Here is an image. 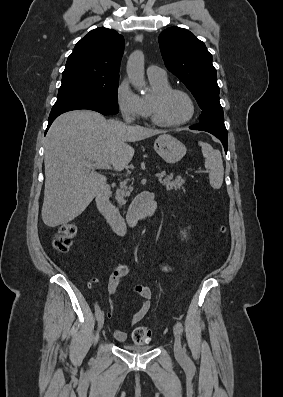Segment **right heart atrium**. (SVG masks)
Segmentation results:
<instances>
[{"mask_svg":"<svg viewBox=\"0 0 283 397\" xmlns=\"http://www.w3.org/2000/svg\"><path fill=\"white\" fill-rule=\"evenodd\" d=\"M116 102L127 119L136 120L145 115L141 97L133 91L127 79H123L117 86Z\"/></svg>","mask_w":283,"mask_h":397,"instance_id":"obj_1","label":"right heart atrium"}]
</instances>
